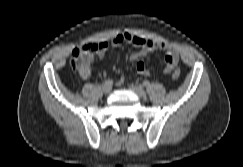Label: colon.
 <instances>
[{
    "label": "colon",
    "mask_w": 243,
    "mask_h": 167,
    "mask_svg": "<svg viewBox=\"0 0 243 167\" xmlns=\"http://www.w3.org/2000/svg\"><path fill=\"white\" fill-rule=\"evenodd\" d=\"M98 49L99 44H85L77 47L71 56L70 63L72 69L83 77L88 75L94 59V54ZM179 77L180 70L175 69L172 73V78L178 79Z\"/></svg>",
    "instance_id": "5ec220e1"
}]
</instances>
